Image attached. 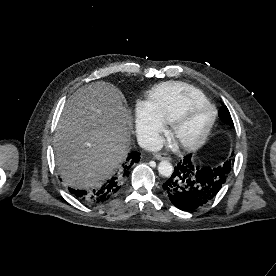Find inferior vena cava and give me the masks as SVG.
Listing matches in <instances>:
<instances>
[{"mask_svg": "<svg viewBox=\"0 0 276 276\" xmlns=\"http://www.w3.org/2000/svg\"><path fill=\"white\" fill-rule=\"evenodd\" d=\"M137 141L141 148L148 151H159L163 147V139L157 133L141 134Z\"/></svg>", "mask_w": 276, "mask_h": 276, "instance_id": "602c4592", "label": "inferior vena cava"}]
</instances>
